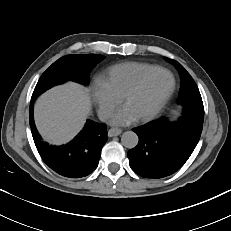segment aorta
Here are the masks:
<instances>
[{
  "label": "aorta",
  "mask_w": 231,
  "mask_h": 231,
  "mask_svg": "<svg viewBox=\"0 0 231 231\" xmlns=\"http://www.w3.org/2000/svg\"><path fill=\"white\" fill-rule=\"evenodd\" d=\"M138 141V135L133 131H126L122 134L121 143L126 148H135L138 144Z\"/></svg>",
  "instance_id": "762f6f07"
}]
</instances>
